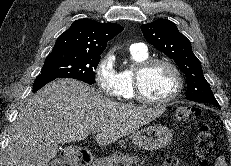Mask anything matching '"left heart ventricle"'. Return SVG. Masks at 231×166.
Segmentation results:
<instances>
[{
  "label": "left heart ventricle",
  "instance_id": "left-heart-ventricle-1",
  "mask_svg": "<svg viewBox=\"0 0 231 166\" xmlns=\"http://www.w3.org/2000/svg\"><path fill=\"white\" fill-rule=\"evenodd\" d=\"M176 87V80L169 67L163 64L152 66L142 78V88L146 96L152 99H165Z\"/></svg>",
  "mask_w": 231,
  "mask_h": 166
}]
</instances>
